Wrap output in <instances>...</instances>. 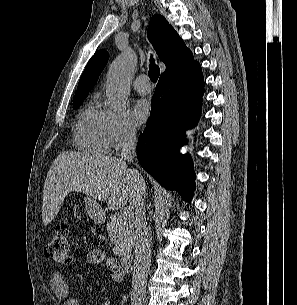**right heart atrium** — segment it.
Listing matches in <instances>:
<instances>
[{
	"label": "right heart atrium",
	"instance_id": "1",
	"mask_svg": "<svg viewBox=\"0 0 297 305\" xmlns=\"http://www.w3.org/2000/svg\"><path fill=\"white\" fill-rule=\"evenodd\" d=\"M108 129L111 146L116 150L130 145L137 137L136 128L127 116L110 114Z\"/></svg>",
	"mask_w": 297,
	"mask_h": 305
}]
</instances>
